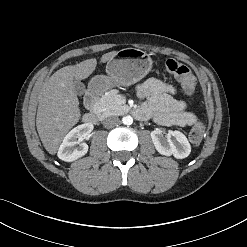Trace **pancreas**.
Returning a JSON list of instances; mask_svg holds the SVG:
<instances>
[{
    "label": "pancreas",
    "mask_w": 247,
    "mask_h": 247,
    "mask_svg": "<svg viewBox=\"0 0 247 247\" xmlns=\"http://www.w3.org/2000/svg\"><path fill=\"white\" fill-rule=\"evenodd\" d=\"M118 97L117 90H110L103 95L96 103L95 109L99 115H118L121 114L125 106L120 105L116 98Z\"/></svg>",
    "instance_id": "cf45deb5"
}]
</instances>
